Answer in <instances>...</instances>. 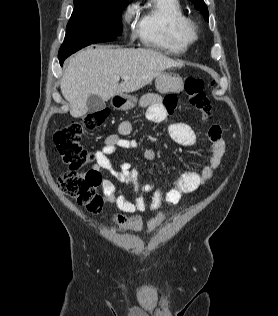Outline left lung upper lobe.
Returning <instances> with one entry per match:
<instances>
[{
    "label": "left lung upper lobe",
    "mask_w": 278,
    "mask_h": 316,
    "mask_svg": "<svg viewBox=\"0 0 278 316\" xmlns=\"http://www.w3.org/2000/svg\"><path fill=\"white\" fill-rule=\"evenodd\" d=\"M191 2L195 5L196 9L199 10L204 16L206 21H209V13L206 4L203 0H191Z\"/></svg>",
    "instance_id": "5c2ea615"
}]
</instances>
